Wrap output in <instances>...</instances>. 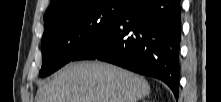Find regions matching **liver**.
<instances>
[{"mask_svg":"<svg viewBox=\"0 0 221 102\" xmlns=\"http://www.w3.org/2000/svg\"><path fill=\"white\" fill-rule=\"evenodd\" d=\"M148 82L104 62H78L59 70L37 91L35 102H138L150 94Z\"/></svg>","mask_w":221,"mask_h":102,"instance_id":"1","label":"liver"}]
</instances>
